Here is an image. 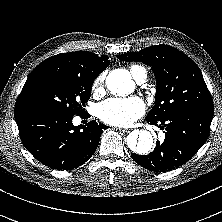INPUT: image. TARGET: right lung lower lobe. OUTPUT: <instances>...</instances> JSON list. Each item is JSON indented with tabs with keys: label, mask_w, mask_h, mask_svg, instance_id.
<instances>
[{
	"label": "right lung lower lobe",
	"mask_w": 222,
	"mask_h": 222,
	"mask_svg": "<svg viewBox=\"0 0 222 222\" xmlns=\"http://www.w3.org/2000/svg\"><path fill=\"white\" fill-rule=\"evenodd\" d=\"M14 116L24 147L38 161L57 170H71L89 160L108 128L96 121L74 126L73 116L46 108L20 107Z\"/></svg>",
	"instance_id": "98d812e1"
}]
</instances>
